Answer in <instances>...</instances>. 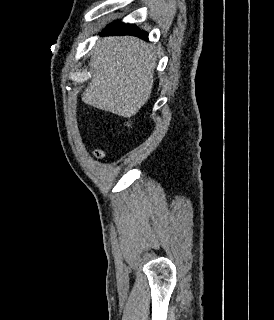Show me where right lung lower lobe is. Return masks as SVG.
Here are the masks:
<instances>
[{
	"label": "right lung lower lobe",
	"instance_id": "98d812e1",
	"mask_svg": "<svg viewBox=\"0 0 274 320\" xmlns=\"http://www.w3.org/2000/svg\"><path fill=\"white\" fill-rule=\"evenodd\" d=\"M101 35H134L142 39H147L148 33L140 30L135 25L115 21L108 25Z\"/></svg>",
	"mask_w": 274,
	"mask_h": 320
}]
</instances>
